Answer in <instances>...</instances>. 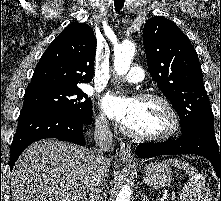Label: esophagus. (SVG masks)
<instances>
[{
	"label": "esophagus",
	"mask_w": 221,
	"mask_h": 201,
	"mask_svg": "<svg viewBox=\"0 0 221 201\" xmlns=\"http://www.w3.org/2000/svg\"><path fill=\"white\" fill-rule=\"evenodd\" d=\"M120 159L123 162L131 163L134 161V157L132 155L131 146L129 143L121 141L120 142Z\"/></svg>",
	"instance_id": "34e87169"
}]
</instances>
